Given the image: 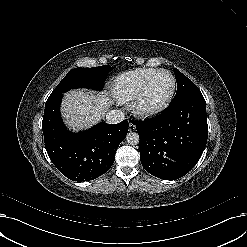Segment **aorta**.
Listing matches in <instances>:
<instances>
[{"mask_svg": "<svg viewBox=\"0 0 247 247\" xmlns=\"http://www.w3.org/2000/svg\"><path fill=\"white\" fill-rule=\"evenodd\" d=\"M139 135L136 132H130L126 136V140L130 145H137L139 143Z\"/></svg>", "mask_w": 247, "mask_h": 247, "instance_id": "obj_1", "label": "aorta"}]
</instances>
